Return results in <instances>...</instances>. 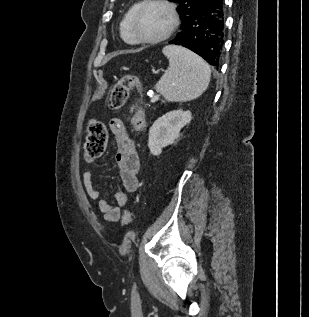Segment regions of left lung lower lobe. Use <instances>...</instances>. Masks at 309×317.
I'll return each instance as SVG.
<instances>
[{"label": "left lung lower lobe", "instance_id": "left-lung-lower-lobe-1", "mask_svg": "<svg viewBox=\"0 0 309 317\" xmlns=\"http://www.w3.org/2000/svg\"><path fill=\"white\" fill-rule=\"evenodd\" d=\"M224 0H206L183 22L170 44L184 46L218 68L225 42Z\"/></svg>", "mask_w": 309, "mask_h": 317}]
</instances>
